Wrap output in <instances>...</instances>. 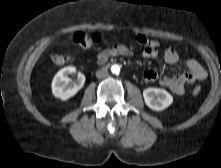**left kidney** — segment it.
<instances>
[{"label":"left kidney","mask_w":221,"mask_h":168,"mask_svg":"<svg viewBox=\"0 0 221 168\" xmlns=\"http://www.w3.org/2000/svg\"><path fill=\"white\" fill-rule=\"evenodd\" d=\"M143 97L146 105L154 111L164 110L173 102L172 95L160 88L145 89L143 91Z\"/></svg>","instance_id":"left-kidney-1"}]
</instances>
